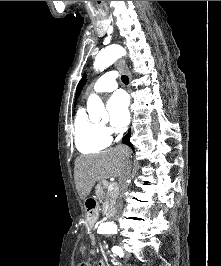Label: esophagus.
I'll return each mask as SVG.
<instances>
[{"label":"esophagus","mask_w":221,"mask_h":266,"mask_svg":"<svg viewBox=\"0 0 221 266\" xmlns=\"http://www.w3.org/2000/svg\"><path fill=\"white\" fill-rule=\"evenodd\" d=\"M117 66L118 68L123 71L129 78V81H131L132 79V76H131V73L130 71L128 70L126 64H125V61L123 59H120L118 62H117ZM131 91V90H130Z\"/></svg>","instance_id":"34e87169"}]
</instances>
